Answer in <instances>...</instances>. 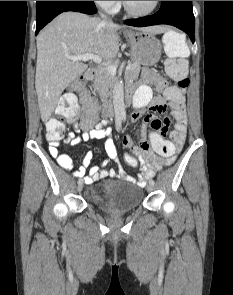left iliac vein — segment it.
Instances as JSON below:
<instances>
[{"instance_id": "obj_1", "label": "left iliac vein", "mask_w": 233, "mask_h": 295, "mask_svg": "<svg viewBox=\"0 0 233 295\" xmlns=\"http://www.w3.org/2000/svg\"><path fill=\"white\" fill-rule=\"evenodd\" d=\"M146 190L147 192H152L154 190V185H151V184L147 185Z\"/></svg>"}]
</instances>
